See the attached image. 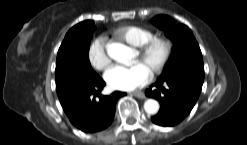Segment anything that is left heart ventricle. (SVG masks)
Here are the masks:
<instances>
[{
	"instance_id": "1",
	"label": "left heart ventricle",
	"mask_w": 247,
	"mask_h": 145,
	"mask_svg": "<svg viewBox=\"0 0 247 145\" xmlns=\"http://www.w3.org/2000/svg\"><path fill=\"white\" fill-rule=\"evenodd\" d=\"M162 56V49L160 47L153 48L149 54L146 56H139L138 53H135V61L142 62L146 65L150 70L153 66H155Z\"/></svg>"
}]
</instances>
